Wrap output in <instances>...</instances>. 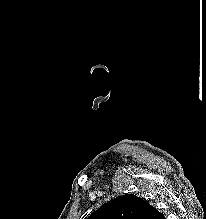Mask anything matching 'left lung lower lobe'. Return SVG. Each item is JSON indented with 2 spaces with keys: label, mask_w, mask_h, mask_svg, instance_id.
Listing matches in <instances>:
<instances>
[{
  "label": "left lung lower lobe",
  "mask_w": 206,
  "mask_h": 219,
  "mask_svg": "<svg viewBox=\"0 0 206 219\" xmlns=\"http://www.w3.org/2000/svg\"><path fill=\"white\" fill-rule=\"evenodd\" d=\"M151 219H165V217L155 208Z\"/></svg>",
  "instance_id": "0a47b994"
}]
</instances>
